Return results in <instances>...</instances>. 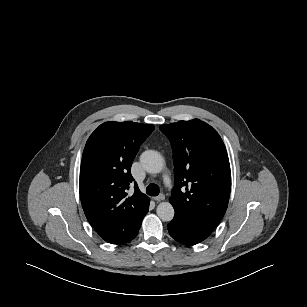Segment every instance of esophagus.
<instances>
[{
	"mask_svg": "<svg viewBox=\"0 0 307 307\" xmlns=\"http://www.w3.org/2000/svg\"><path fill=\"white\" fill-rule=\"evenodd\" d=\"M154 201H163L165 199V195L164 194H160L158 196H155L152 198Z\"/></svg>",
	"mask_w": 307,
	"mask_h": 307,
	"instance_id": "esophagus-1",
	"label": "esophagus"
}]
</instances>
